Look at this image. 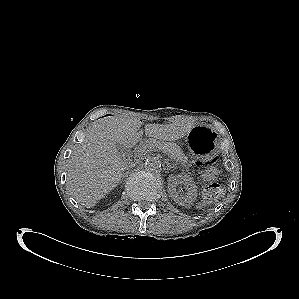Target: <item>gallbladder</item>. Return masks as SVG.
I'll return each mask as SVG.
<instances>
[{
	"label": "gallbladder",
	"mask_w": 299,
	"mask_h": 299,
	"mask_svg": "<svg viewBox=\"0 0 299 299\" xmlns=\"http://www.w3.org/2000/svg\"><path fill=\"white\" fill-rule=\"evenodd\" d=\"M116 149L117 152L121 155V156H126L127 154H129V150H127L125 147H123L120 144L116 145Z\"/></svg>",
	"instance_id": "1"
}]
</instances>
